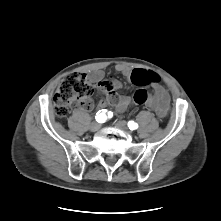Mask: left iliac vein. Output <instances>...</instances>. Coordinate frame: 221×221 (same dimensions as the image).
<instances>
[{
    "label": "left iliac vein",
    "instance_id": "1",
    "mask_svg": "<svg viewBox=\"0 0 221 221\" xmlns=\"http://www.w3.org/2000/svg\"><path fill=\"white\" fill-rule=\"evenodd\" d=\"M116 127L119 128L120 130H123L125 132H128L130 133L128 127H127V124L125 121H118L116 124Z\"/></svg>",
    "mask_w": 221,
    "mask_h": 221
}]
</instances>
